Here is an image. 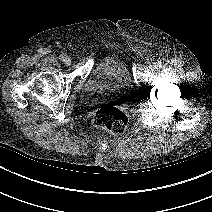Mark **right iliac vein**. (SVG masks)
Listing matches in <instances>:
<instances>
[{"label": "right iliac vein", "instance_id": "1", "mask_svg": "<svg viewBox=\"0 0 212 212\" xmlns=\"http://www.w3.org/2000/svg\"><path fill=\"white\" fill-rule=\"evenodd\" d=\"M71 59L69 58V57H66L65 58V60H64V63L66 64V65H70L71 64Z\"/></svg>", "mask_w": 212, "mask_h": 212}]
</instances>
